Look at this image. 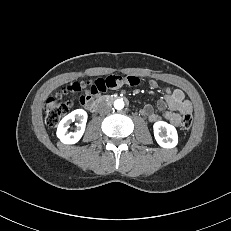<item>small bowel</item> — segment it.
Listing matches in <instances>:
<instances>
[{
  "mask_svg": "<svg viewBox=\"0 0 231 231\" xmlns=\"http://www.w3.org/2000/svg\"><path fill=\"white\" fill-rule=\"evenodd\" d=\"M126 84L137 86L140 84V79L136 76L126 78L116 74L95 78L82 85L81 89L77 92V97L80 99L81 104L87 106L96 94L100 92L105 93L107 90H117L126 86ZM150 87L153 89L157 88L158 83L155 80H151ZM156 109L164 113H157L155 107L148 104L143 108L142 114L151 122H156L164 118L173 125L179 126L182 116L192 113V104L185 98V94L181 89L166 88L163 98L159 99L156 103Z\"/></svg>",
  "mask_w": 231,
  "mask_h": 231,
  "instance_id": "c3829d8e",
  "label": "small bowel"
}]
</instances>
